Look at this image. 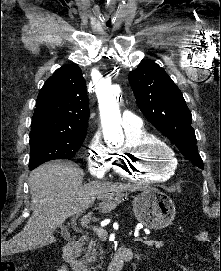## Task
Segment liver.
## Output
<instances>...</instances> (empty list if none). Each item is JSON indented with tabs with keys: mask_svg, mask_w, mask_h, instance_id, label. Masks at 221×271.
Instances as JSON below:
<instances>
[{
	"mask_svg": "<svg viewBox=\"0 0 221 271\" xmlns=\"http://www.w3.org/2000/svg\"><path fill=\"white\" fill-rule=\"evenodd\" d=\"M84 171L75 163L66 161H47L29 175L31 205L30 215L23 229L12 239L5 241V253H20L28 249H37L56 241L54 231L67 217L91 207L95 197H100L99 207L95 209H114L120 199V193L113 197L108 191H127L138 189L130 183L113 181H90L83 185Z\"/></svg>",
	"mask_w": 221,
	"mask_h": 271,
	"instance_id": "6515ba94",
	"label": "liver"
}]
</instances>
